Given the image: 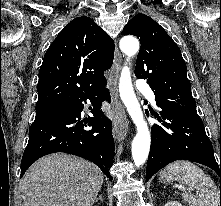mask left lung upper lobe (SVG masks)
<instances>
[{
	"instance_id": "left-lung-upper-lobe-1",
	"label": "left lung upper lobe",
	"mask_w": 221,
	"mask_h": 206,
	"mask_svg": "<svg viewBox=\"0 0 221 206\" xmlns=\"http://www.w3.org/2000/svg\"><path fill=\"white\" fill-rule=\"evenodd\" d=\"M123 34L140 39L135 75L148 80L156 103L168 110L197 113L185 61L166 31L152 18L138 14L123 28Z\"/></svg>"
}]
</instances>
